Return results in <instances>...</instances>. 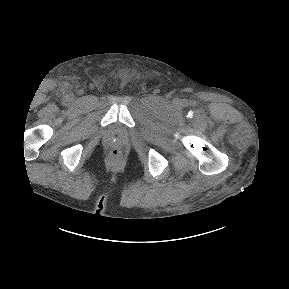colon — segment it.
<instances>
[{"mask_svg": "<svg viewBox=\"0 0 289 289\" xmlns=\"http://www.w3.org/2000/svg\"><path fill=\"white\" fill-rule=\"evenodd\" d=\"M110 157L114 160H118L121 157V151L117 148H114L110 151Z\"/></svg>", "mask_w": 289, "mask_h": 289, "instance_id": "obj_1", "label": "colon"}]
</instances>
